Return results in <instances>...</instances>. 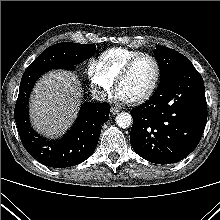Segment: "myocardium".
<instances>
[{"instance_id": "f54148a6", "label": "myocardium", "mask_w": 220, "mask_h": 220, "mask_svg": "<svg viewBox=\"0 0 220 220\" xmlns=\"http://www.w3.org/2000/svg\"><path fill=\"white\" fill-rule=\"evenodd\" d=\"M142 57H147L154 63L155 76H154V80H153L151 86L144 94L137 97L136 99L130 100L134 104H140V103L148 100L156 91V89L159 85V82H160V78H161V66H160L159 60L154 55H152L150 53L139 52L138 54L134 55L132 58H130L126 62V64L122 67V69L120 70V72L118 73V75L115 79V85H116V88L118 89L121 81L128 75V73L131 71L134 64Z\"/></svg>"}]
</instances>
